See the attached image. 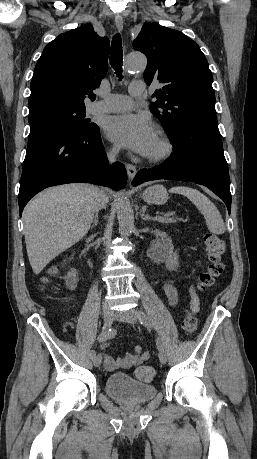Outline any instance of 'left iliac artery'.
<instances>
[{
    "instance_id": "1",
    "label": "left iliac artery",
    "mask_w": 257,
    "mask_h": 459,
    "mask_svg": "<svg viewBox=\"0 0 257 459\" xmlns=\"http://www.w3.org/2000/svg\"><path fill=\"white\" fill-rule=\"evenodd\" d=\"M139 321L142 325L148 327V328H151V323H150V320L149 318L147 317V315L142 312V311H139ZM156 345L158 347L159 350H161L163 348V345H162V342L160 341V339L157 338L156 340Z\"/></svg>"
}]
</instances>
